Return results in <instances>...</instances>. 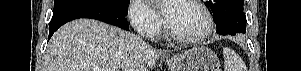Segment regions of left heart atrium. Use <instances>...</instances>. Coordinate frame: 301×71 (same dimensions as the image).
I'll return each mask as SVG.
<instances>
[{
	"instance_id": "39dd6f15",
	"label": "left heart atrium",
	"mask_w": 301,
	"mask_h": 71,
	"mask_svg": "<svg viewBox=\"0 0 301 71\" xmlns=\"http://www.w3.org/2000/svg\"><path fill=\"white\" fill-rule=\"evenodd\" d=\"M159 3L162 4L161 9L162 13L166 17V19L171 17L172 11H173V6L177 1L174 0H165V1H158Z\"/></svg>"
}]
</instances>
